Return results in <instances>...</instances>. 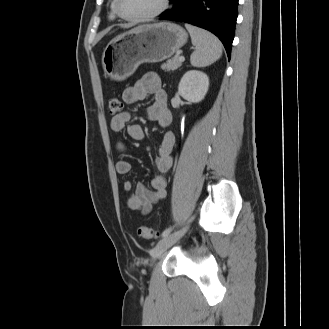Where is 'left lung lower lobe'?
<instances>
[{"mask_svg": "<svg viewBox=\"0 0 329 329\" xmlns=\"http://www.w3.org/2000/svg\"><path fill=\"white\" fill-rule=\"evenodd\" d=\"M173 9L160 20L190 23L215 34L223 43L228 58L234 39L238 0H170Z\"/></svg>", "mask_w": 329, "mask_h": 329, "instance_id": "left-lung-lower-lobe-1", "label": "left lung lower lobe"}]
</instances>
